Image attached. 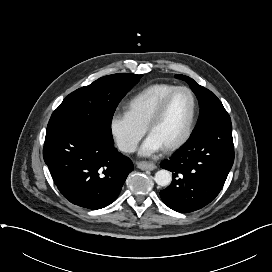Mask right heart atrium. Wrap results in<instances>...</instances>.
<instances>
[{
  "label": "right heart atrium",
  "mask_w": 272,
  "mask_h": 272,
  "mask_svg": "<svg viewBox=\"0 0 272 272\" xmlns=\"http://www.w3.org/2000/svg\"><path fill=\"white\" fill-rule=\"evenodd\" d=\"M109 129L117 147L125 153H132L136 149L146 131L127 112H114L110 118Z\"/></svg>",
  "instance_id": "d8ad5b80"
}]
</instances>
